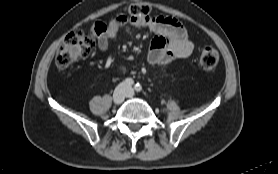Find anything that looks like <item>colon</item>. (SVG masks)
<instances>
[{
    "instance_id": "5ec220e1",
    "label": "colon",
    "mask_w": 278,
    "mask_h": 174,
    "mask_svg": "<svg viewBox=\"0 0 278 174\" xmlns=\"http://www.w3.org/2000/svg\"><path fill=\"white\" fill-rule=\"evenodd\" d=\"M149 13V8L142 3H132L126 7L125 14H120L108 23L96 22L92 26V35H87L81 30L70 32L55 57L59 68H66L79 59L87 57L95 46V37L115 36L121 20V15L138 16ZM219 62L218 51L213 47H205L200 54L199 64L204 71H213Z\"/></svg>"
}]
</instances>
